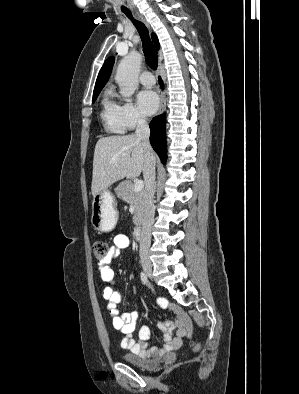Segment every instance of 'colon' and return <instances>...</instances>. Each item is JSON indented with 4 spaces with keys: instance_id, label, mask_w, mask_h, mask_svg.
I'll return each instance as SVG.
<instances>
[{
    "instance_id": "obj_1",
    "label": "colon",
    "mask_w": 299,
    "mask_h": 394,
    "mask_svg": "<svg viewBox=\"0 0 299 394\" xmlns=\"http://www.w3.org/2000/svg\"><path fill=\"white\" fill-rule=\"evenodd\" d=\"M92 250L94 257L98 261H104L109 255L110 245L104 240L95 239L92 242ZM195 349H198V346H196Z\"/></svg>"
}]
</instances>
